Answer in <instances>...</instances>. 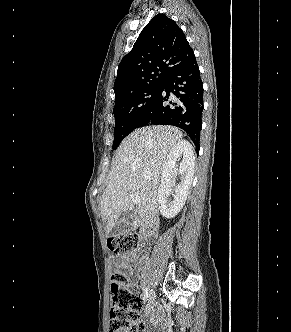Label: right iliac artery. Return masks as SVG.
<instances>
[{"label":"right iliac artery","mask_w":291,"mask_h":332,"mask_svg":"<svg viewBox=\"0 0 291 332\" xmlns=\"http://www.w3.org/2000/svg\"><path fill=\"white\" fill-rule=\"evenodd\" d=\"M148 289L147 288H145L144 289V292H143V299H144V302L148 299Z\"/></svg>","instance_id":"82829eb1"}]
</instances>
